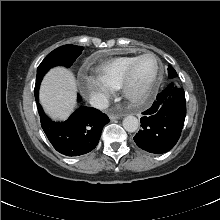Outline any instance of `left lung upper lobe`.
I'll list each match as a JSON object with an SVG mask.
<instances>
[{
	"instance_id": "left-lung-upper-lobe-1",
	"label": "left lung upper lobe",
	"mask_w": 220,
	"mask_h": 220,
	"mask_svg": "<svg viewBox=\"0 0 220 220\" xmlns=\"http://www.w3.org/2000/svg\"><path fill=\"white\" fill-rule=\"evenodd\" d=\"M168 75L170 78H174L177 76V73L172 66L168 67Z\"/></svg>"
}]
</instances>
